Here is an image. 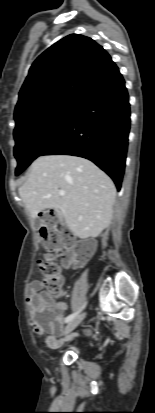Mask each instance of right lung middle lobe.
Wrapping results in <instances>:
<instances>
[{
    "label": "right lung middle lobe",
    "instance_id": "1",
    "mask_svg": "<svg viewBox=\"0 0 155 413\" xmlns=\"http://www.w3.org/2000/svg\"><path fill=\"white\" fill-rule=\"evenodd\" d=\"M77 104H65L20 125L14 130L16 175L23 172L64 131Z\"/></svg>",
    "mask_w": 155,
    "mask_h": 413
}]
</instances>
